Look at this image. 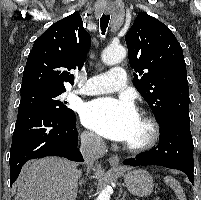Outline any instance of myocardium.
Masks as SVG:
<instances>
[{"mask_svg":"<svg viewBox=\"0 0 201 200\" xmlns=\"http://www.w3.org/2000/svg\"><path fill=\"white\" fill-rule=\"evenodd\" d=\"M138 116L144 120L149 129L148 137L139 144L126 143L125 149L130 152H144L156 145L160 137V125L157 120L148 112L140 111Z\"/></svg>","mask_w":201,"mask_h":200,"instance_id":"f54148a6","label":"myocardium"}]
</instances>
